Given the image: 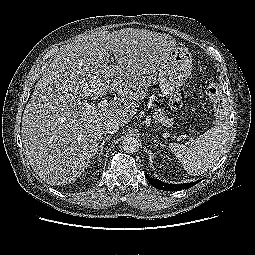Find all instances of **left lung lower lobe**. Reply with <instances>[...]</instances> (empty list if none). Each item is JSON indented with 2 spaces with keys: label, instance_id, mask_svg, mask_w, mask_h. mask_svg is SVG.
Masks as SVG:
<instances>
[{
  "label": "left lung lower lobe",
  "instance_id": "1",
  "mask_svg": "<svg viewBox=\"0 0 255 255\" xmlns=\"http://www.w3.org/2000/svg\"><path fill=\"white\" fill-rule=\"evenodd\" d=\"M146 178L152 186H154L157 189L164 190V191H178V190H182V189H188L201 181V180H198L196 182L184 183V184H168V183H164L158 179L151 178L148 175H146Z\"/></svg>",
  "mask_w": 255,
  "mask_h": 255
}]
</instances>
